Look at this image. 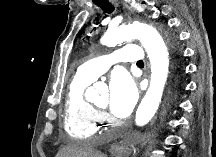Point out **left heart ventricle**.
<instances>
[{"label":"left heart ventricle","mask_w":216,"mask_h":157,"mask_svg":"<svg viewBox=\"0 0 216 157\" xmlns=\"http://www.w3.org/2000/svg\"><path fill=\"white\" fill-rule=\"evenodd\" d=\"M107 100H108V95H107V93H105L99 97V99L96 101V103L100 106H105L107 103Z\"/></svg>","instance_id":"obj_1"}]
</instances>
